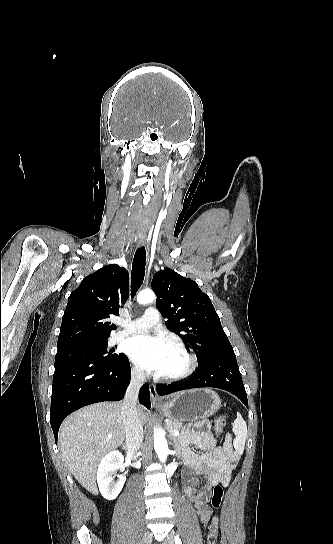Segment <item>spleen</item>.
<instances>
[{"label":"spleen","instance_id":"obj_1","mask_svg":"<svg viewBox=\"0 0 333 544\" xmlns=\"http://www.w3.org/2000/svg\"><path fill=\"white\" fill-rule=\"evenodd\" d=\"M232 431L235 434V439L233 441L235 450L238 453H242L245 446V440L247 437V426L243 417L240 413H237V418L232 424Z\"/></svg>","mask_w":333,"mask_h":544}]
</instances>
